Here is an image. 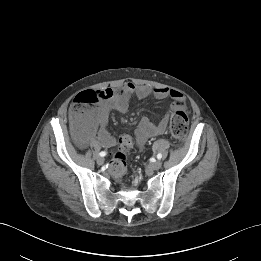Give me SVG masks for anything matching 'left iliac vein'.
<instances>
[{
  "mask_svg": "<svg viewBox=\"0 0 261 261\" xmlns=\"http://www.w3.org/2000/svg\"><path fill=\"white\" fill-rule=\"evenodd\" d=\"M161 166H162V162L160 160H157V161L153 162L152 164H150L149 168L151 170H158L161 168Z\"/></svg>",
  "mask_w": 261,
  "mask_h": 261,
  "instance_id": "obj_1",
  "label": "left iliac vein"
}]
</instances>
